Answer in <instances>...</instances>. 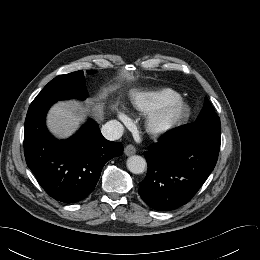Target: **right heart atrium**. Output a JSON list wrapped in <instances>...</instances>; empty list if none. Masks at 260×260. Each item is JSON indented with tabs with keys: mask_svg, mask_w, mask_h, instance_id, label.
I'll return each instance as SVG.
<instances>
[{
	"mask_svg": "<svg viewBox=\"0 0 260 260\" xmlns=\"http://www.w3.org/2000/svg\"><path fill=\"white\" fill-rule=\"evenodd\" d=\"M117 115L123 121H126L128 119L124 110H118Z\"/></svg>",
	"mask_w": 260,
	"mask_h": 260,
	"instance_id": "d8ad5b80",
	"label": "right heart atrium"
}]
</instances>
